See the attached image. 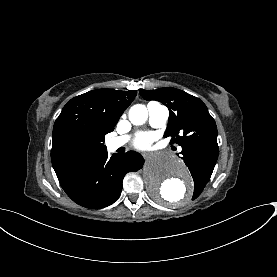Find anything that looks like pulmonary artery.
<instances>
[{
	"label": "pulmonary artery",
	"instance_id": "e3ab8cb5",
	"mask_svg": "<svg viewBox=\"0 0 277 277\" xmlns=\"http://www.w3.org/2000/svg\"><path fill=\"white\" fill-rule=\"evenodd\" d=\"M145 111L149 124L154 128H162L164 127L169 119V110L167 107L161 105L157 102H150L146 107H143ZM130 136L125 135L117 138L113 142H111V146L113 148H118L126 143H128Z\"/></svg>",
	"mask_w": 277,
	"mask_h": 277
}]
</instances>
